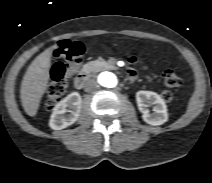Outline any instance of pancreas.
<instances>
[{
    "label": "pancreas",
    "instance_id": "pancreas-1",
    "mask_svg": "<svg viewBox=\"0 0 212 183\" xmlns=\"http://www.w3.org/2000/svg\"><path fill=\"white\" fill-rule=\"evenodd\" d=\"M112 61H92L86 65L87 72H97L101 70H116L117 67L113 65Z\"/></svg>",
    "mask_w": 212,
    "mask_h": 183
}]
</instances>
